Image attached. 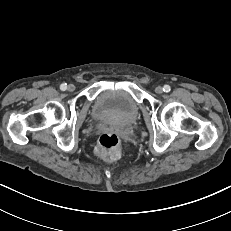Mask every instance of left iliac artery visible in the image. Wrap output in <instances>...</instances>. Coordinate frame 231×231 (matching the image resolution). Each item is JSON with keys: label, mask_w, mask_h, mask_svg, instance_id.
Wrapping results in <instances>:
<instances>
[{"label": "left iliac artery", "mask_w": 231, "mask_h": 231, "mask_svg": "<svg viewBox=\"0 0 231 231\" xmlns=\"http://www.w3.org/2000/svg\"><path fill=\"white\" fill-rule=\"evenodd\" d=\"M170 90H171V88L169 85H164V87H163L164 92H169Z\"/></svg>", "instance_id": "44dca946"}]
</instances>
